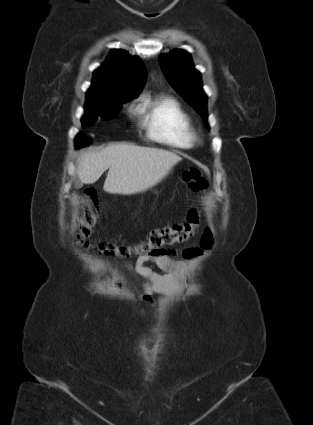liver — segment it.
<instances>
[{
	"instance_id": "6515ba94",
	"label": "liver",
	"mask_w": 313,
	"mask_h": 425,
	"mask_svg": "<svg viewBox=\"0 0 313 425\" xmlns=\"http://www.w3.org/2000/svg\"><path fill=\"white\" fill-rule=\"evenodd\" d=\"M182 158L170 151L133 144H111L84 153L77 174L84 184L95 183L108 170L103 189L132 195L147 191L164 179Z\"/></svg>"
}]
</instances>
